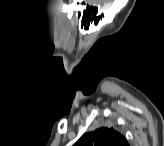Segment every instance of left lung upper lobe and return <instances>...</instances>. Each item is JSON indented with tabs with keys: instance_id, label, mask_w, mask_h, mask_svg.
Returning <instances> with one entry per match:
<instances>
[{
	"instance_id": "5c2ea615",
	"label": "left lung upper lobe",
	"mask_w": 164,
	"mask_h": 146,
	"mask_svg": "<svg viewBox=\"0 0 164 146\" xmlns=\"http://www.w3.org/2000/svg\"><path fill=\"white\" fill-rule=\"evenodd\" d=\"M74 146H128V143L114 128L101 127L83 134Z\"/></svg>"
}]
</instances>
